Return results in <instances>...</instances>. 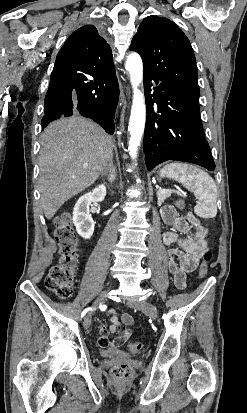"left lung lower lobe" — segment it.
Returning a JSON list of instances; mask_svg holds the SVG:
<instances>
[{
	"label": "left lung lower lobe",
	"instance_id": "left-lung-lower-lobe-1",
	"mask_svg": "<svg viewBox=\"0 0 247 413\" xmlns=\"http://www.w3.org/2000/svg\"><path fill=\"white\" fill-rule=\"evenodd\" d=\"M154 84L157 86L151 88ZM144 87L147 118L143 149L147 169L167 160H176L213 171L215 163L204 137L199 98L146 71ZM152 90L154 92L150 94Z\"/></svg>",
	"mask_w": 247,
	"mask_h": 413
}]
</instances>
